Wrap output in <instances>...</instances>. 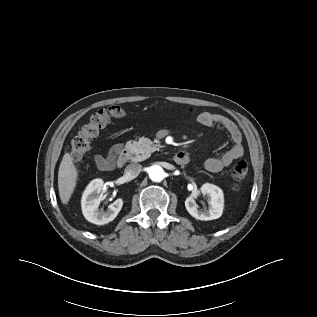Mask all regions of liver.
Here are the masks:
<instances>
[{
    "instance_id": "6515ba94",
    "label": "liver",
    "mask_w": 317,
    "mask_h": 317,
    "mask_svg": "<svg viewBox=\"0 0 317 317\" xmlns=\"http://www.w3.org/2000/svg\"><path fill=\"white\" fill-rule=\"evenodd\" d=\"M77 175V170L73 165V158L69 153H65L58 171L59 196L63 204H67L73 194Z\"/></svg>"
}]
</instances>
